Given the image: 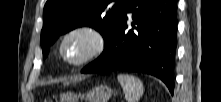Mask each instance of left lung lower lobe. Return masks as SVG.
Instances as JSON below:
<instances>
[{"mask_svg":"<svg viewBox=\"0 0 221 102\" xmlns=\"http://www.w3.org/2000/svg\"><path fill=\"white\" fill-rule=\"evenodd\" d=\"M126 13H131V30ZM176 30L175 0H127L103 53L81 72H142L162 80L173 94Z\"/></svg>","mask_w":221,"mask_h":102,"instance_id":"0a47b994","label":"left lung lower lobe"}]
</instances>
